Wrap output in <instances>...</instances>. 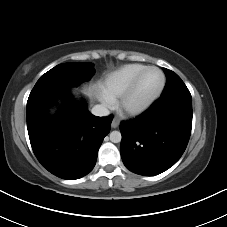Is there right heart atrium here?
<instances>
[{
  "label": "right heart atrium",
  "instance_id": "1",
  "mask_svg": "<svg viewBox=\"0 0 227 227\" xmlns=\"http://www.w3.org/2000/svg\"><path fill=\"white\" fill-rule=\"evenodd\" d=\"M101 101L107 107H110L113 104V100L104 93L101 95Z\"/></svg>",
  "mask_w": 227,
  "mask_h": 227
}]
</instances>
